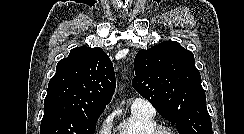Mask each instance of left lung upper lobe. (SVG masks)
<instances>
[{
    "instance_id": "5c2ea615",
    "label": "left lung upper lobe",
    "mask_w": 244,
    "mask_h": 134,
    "mask_svg": "<svg viewBox=\"0 0 244 134\" xmlns=\"http://www.w3.org/2000/svg\"><path fill=\"white\" fill-rule=\"evenodd\" d=\"M132 86L179 134H212L201 76L194 55L176 41L140 50Z\"/></svg>"
}]
</instances>
